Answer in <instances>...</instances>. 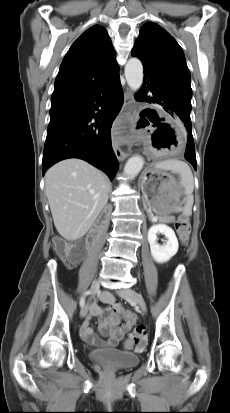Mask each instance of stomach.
<instances>
[{
	"mask_svg": "<svg viewBox=\"0 0 230 413\" xmlns=\"http://www.w3.org/2000/svg\"><path fill=\"white\" fill-rule=\"evenodd\" d=\"M141 190L149 209L162 221L178 207L182 195L176 179L157 168L144 172Z\"/></svg>",
	"mask_w": 230,
	"mask_h": 413,
	"instance_id": "1",
	"label": "stomach"
}]
</instances>
